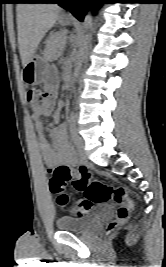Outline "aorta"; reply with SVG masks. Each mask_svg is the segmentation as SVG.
I'll list each match as a JSON object with an SVG mask.
<instances>
[{"instance_id":"obj_1","label":"aorta","mask_w":166,"mask_h":267,"mask_svg":"<svg viewBox=\"0 0 166 267\" xmlns=\"http://www.w3.org/2000/svg\"><path fill=\"white\" fill-rule=\"evenodd\" d=\"M92 28H93V17H92L91 12L89 11L86 14L83 24H82V38L79 42V48H78L76 58H75L74 72H73V77H72V82H71L72 87L74 83L76 82V79L79 75V71L81 69L82 62H83L84 51L91 38Z\"/></svg>"}]
</instances>
